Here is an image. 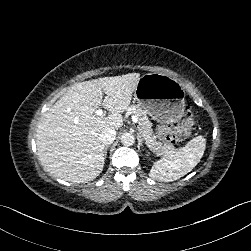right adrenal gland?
<instances>
[{"instance_id": "obj_1", "label": "right adrenal gland", "mask_w": 251, "mask_h": 251, "mask_svg": "<svg viewBox=\"0 0 251 251\" xmlns=\"http://www.w3.org/2000/svg\"><path fill=\"white\" fill-rule=\"evenodd\" d=\"M108 148H109V145H106V146L104 147V149H103L104 159L107 158V150H108Z\"/></svg>"}]
</instances>
